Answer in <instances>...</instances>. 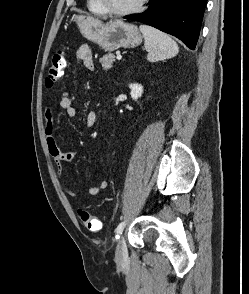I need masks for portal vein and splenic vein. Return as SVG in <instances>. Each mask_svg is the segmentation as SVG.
Listing matches in <instances>:
<instances>
[{
  "label": "portal vein and splenic vein",
  "instance_id": "portal-vein-and-splenic-vein-1",
  "mask_svg": "<svg viewBox=\"0 0 249 294\" xmlns=\"http://www.w3.org/2000/svg\"><path fill=\"white\" fill-rule=\"evenodd\" d=\"M116 59L117 60H121L122 59V56L120 54H118L117 57H116Z\"/></svg>",
  "mask_w": 249,
  "mask_h": 294
}]
</instances>
